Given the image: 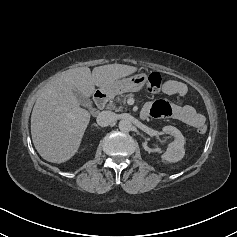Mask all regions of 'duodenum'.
<instances>
[{
    "instance_id": "410a0bca",
    "label": "duodenum",
    "mask_w": 237,
    "mask_h": 237,
    "mask_svg": "<svg viewBox=\"0 0 237 237\" xmlns=\"http://www.w3.org/2000/svg\"><path fill=\"white\" fill-rule=\"evenodd\" d=\"M94 102L99 109L104 108L107 103V95L102 91L95 92Z\"/></svg>"
}]
</instances>
